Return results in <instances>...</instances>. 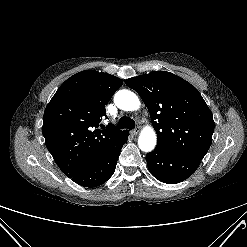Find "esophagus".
<instances>
[{"label":"esophagus","instance_id":"1","mask_svg":"<svg viewBox=\"0 0 247 247\" xmlns=\"http://www.w3.org/2000/svg\"><path fill=\"white\" fill-rule=\"evenodd\" d=\"M140 131H141L140 127H136V128L132 131V133H133L134 135H137V134L140 133Z\"/></svg>","mask_w":247,"mask_h":247}]
</instances>
